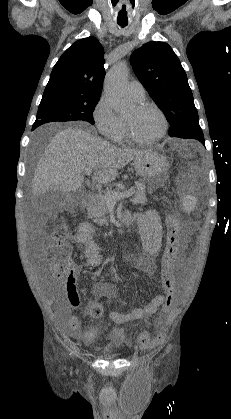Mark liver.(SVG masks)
Listing matches in <instances>:
<instances>
[{
	"label": "liver",
	"mask_w": 231,
	"mask_h": 419,
	"mask_svg": "<svg viewBox=\"0 0 231 419\" xmlns=\"http://www.w3.org/2000/svg\"><path fill=\"white\" fill-rule=\"evenodd\" d=\"M146 150L117 148L98 138L89 129L68 127L50 140L35 170L32 195L45 194L51 189L63 193L78 190L86 169L96 170L99 183L115 180L118 170Z\"/></svg>",
	"instance_id": "1"
}]
</instances>
